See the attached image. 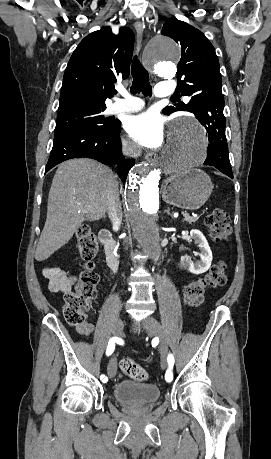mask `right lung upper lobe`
Wrapping results in <instances>:
<instances>
[{
  "label": "right lung upper lobe",
  "instance_id": "obj_1",
  "mask_svg": "<svg viewBox=\"0 0 271 459\" xmlns=\"http://www.w3.org/2000/svg\"><path fill=\"white\" fill-rule=\"evenodd\" d=\"M134 34L122 28L114 35L110 27L86 36L73 52L64 73L58 111L82 106L106 107L116 94L114 84L129 76Z\"/></svg>",
  "mask_w": 271,
  "mask_h": 459
}]
</instances>
